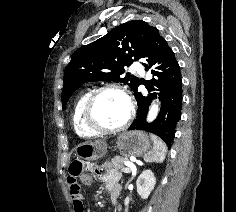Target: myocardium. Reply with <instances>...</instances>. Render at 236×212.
Masks as SVG:
<instances>
[{
    "label": "myocardium",
    "mask_w": 236,
    "mask_h": 212,
    "mask_svg": "<svg viewBox=\"0 0 236 212\" xmlns=\"http://www.w3.org/2000/svg\"><path fill=\"white\" fill-rule=\"evenodd\" d=\"M107 90H114L121 93L128 104V115L126 120L119 127L112 129L101 127L94 118V107L96 100L101 93ZM134 116L135 104L130 93L123 86L115 83H108L93 90L87 98L83 110V120L86 127L97 134L103 135L117 134L126 130L131 125Z\"/></svg>",
    "instance_id": "obj_1"
}]
</instances>
